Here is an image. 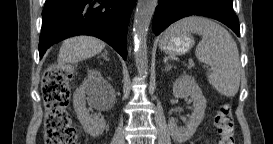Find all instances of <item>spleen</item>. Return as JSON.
I'll list each match as a JSON object with an SVG mask.
<instances>
[{"label":"spleen","mask_w":273,"mask_h":144,"mask_svg":"<svg viewBox=\"0 0 273 144\" xmlns=\"http://www.w3.org/2000/svg\"><path fill=\"white\" fill-rule=\"evenodd\" d=\"M195 33L202 36L195 55L200 62L208 63L209 83L222 95L233 97L240 85V60L236 42L221 25L210 19L191 16L169 27L165 34Z\"/></svg>","instance_id":"obj_1"}]
</instances>
